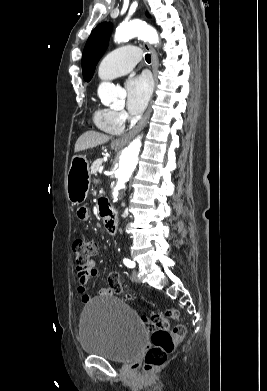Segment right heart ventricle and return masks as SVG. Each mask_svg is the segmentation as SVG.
Here are the masks:
<instances>
[{
    "label": "right heart ventricle",
    "mask_w": 267,
    "mask_h": 391,
    "mask_svg": "<svg viewBox=\"0 0 267 391\" xmlns=\"http://www.w3.org/2000/svg\"><path fill=\"white\" fill-rule=\"evenodd\" d=\"M94 124L108 134H119L123 125L115 116V111L107 107L98 106L93 113Z\"/></svg>",
    "instance_id": "1"
}]
</instances>
